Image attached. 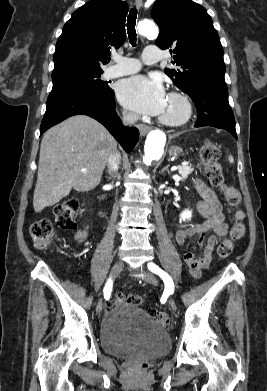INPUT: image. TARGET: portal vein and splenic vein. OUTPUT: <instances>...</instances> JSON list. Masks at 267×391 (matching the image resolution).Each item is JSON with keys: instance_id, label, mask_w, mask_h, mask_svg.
Returning <instances> with one entry per match:
<instances>
[{"instance_id": "1", "label": "portal vein and splenic vein", "mask_w": 267, "mask_h": 391, "mask_svg": "<svg viewBox=\"0 0 267 391\" xmlns=\"http://www.w3.org/2000/svg\"><path fill=\"white\" fill-rule=\"evenodd\" d=\"M185 164H187V163H183V165H185ZM173 169H175V168H173ZM82 172H83V173H86L87 170H86V169H82Z\"/></svg>"}]
</instances>
